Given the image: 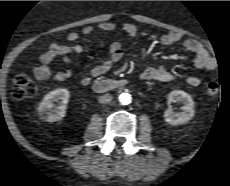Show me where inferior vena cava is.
I'll return each mask as SVG.
<instances>
[{
	"label": "inferior vena cava",
	"instance_id": "1",
	"mask_svg": "<svg viewBox=\"0 0 230 186\" xmlns=\"http://www.w3.org/2000/svg\"><path fill=\"white\" fill-rule=\"evenodd\" d=\"M112 100V95L111 94H104L98 98V101L100 103H109Z\"/></svg>",
	"mask_w": 230,
	"mask_h": 186
}]
</instances>
